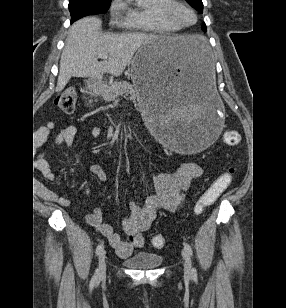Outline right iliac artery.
Wrapping results in <instances>:
<instances>
[{"mask_svg": "<svg viewBox=\"0 0 286 308\" xmlns=\"http://www.w3.org/2000/svg\"><path fill=\"white\" fill-rule=\"evenodd\" d=\"M102 250H103V243H100L96 248V255H99ZM95 280H96V274H94V276L92 277L91 284H93Z\"/></svg>", "mask_w": 286, "mask_h": 308, "instance_id": "obj_1", "label": "right iliac artery"}]
</instances>
